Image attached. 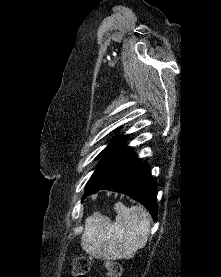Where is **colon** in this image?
Here are the masks:
<instances>
[{
	"label": "colon",
	"mask_w": 221,
	"mask_h": 277,
	"mask_svg": "<svg viewBox=\"0 0 221 277\" xmlns=\"http://www.w3.org/2000/svg\"><path fill=\"white\" fill-rule=\"evenodd\" d=\"M91 262L86 257H78L75 260L72 276L73 277H89L88 273L90 271ZM109 277H120L122 269L121 266L112 261H107L104 264Z\"/></svg>",
	"instance_id": "5ec220e1"
}]
</instances>
